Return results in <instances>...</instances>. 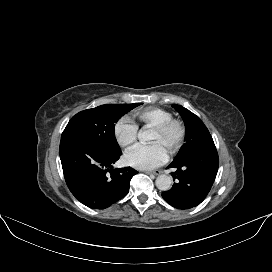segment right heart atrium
Masks as SVG:
<instances>
[{"instance_id": "right-heart-atrium-1", "label": "right heart atrium", "mask_w": 272, "mask_h": 272, "mask_svg": "<svg viewBox=\"0 0 272 272\" xmlns=\"http://www.w3.org/2000/svg\"><path fill=\"white\" fill-rule=\"evenodd\" d=\"M114 135L117 143L125 148H132L138 138L137 126L127 117L119 119L114 126Z\"/></svg>"}]
</instances>
